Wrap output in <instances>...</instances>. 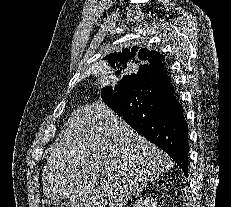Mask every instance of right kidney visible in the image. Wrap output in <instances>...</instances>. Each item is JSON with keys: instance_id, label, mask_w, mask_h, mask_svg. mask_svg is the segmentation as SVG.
<instances>
[{"instance_id": "1", "label": "right kidney", "mask_w": 231, "mask_h": 207, "mask_svg": "<svg viewBox=\"0 0 231 207\" xmlns=\"http://www.w3.org/2000/svg\"><path fill=\"white\" fill-rule=\"evenodd\" d=\"M133 207H157V202L151 196L138 199Z\"/></svg>"}]
</instances>
